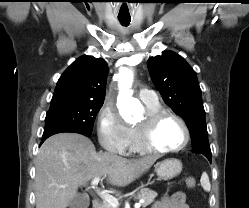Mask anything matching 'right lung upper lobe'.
<instances>
[{
  "label": "right lung upper lobe",
  "mask_w": 249,
  "mask_h": 208,
  "mask_svg": "<svg viewBox=\"0 0 249 208\" xmlns=\"http://www.w3.org/2000/svg\"><path fill=\"white\" fill-rule=\"evenodd\" d=\"M108 73L102 58L84 55L76 59L59 78L51 106L69 102H103Z\"/></svg>",
  "instance_id": "obj_1"
}]
</instances>
